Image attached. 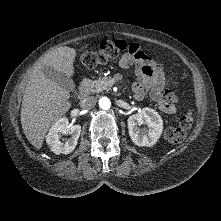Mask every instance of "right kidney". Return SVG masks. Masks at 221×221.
<instances>
[{"mask_svg":"<svg viewBox=\"0 0 221 221\" xmlns=\"http://www.w3.org/2000/svg\"><path fill=\"white\" fill-rule=\"evenodd\" d=\"M80 133V125L69 124L67 118H61L52 125L46 142L55 154H69L75 149ZM67 134H70L71 137L62 139V136Z\"/></svg>","mask_w":221,"mask_h":221,"instance_id":"1","label":"right kidney"}]
</instances>
